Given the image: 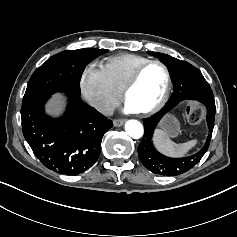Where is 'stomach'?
<instances>
[{
	"label": "stomach",
	"mask_w": 237,
	"mask_h": 237,
	"mask_svg": "<svg viewBox=\"0 0 237 237\" xmlns=\"http://www.w3.org/2000/svg\"><path fill=\"white\" fill-rule=\"evenodd\" d=\"M162 128L170 136H176L179 132L178 123L172 116H169L164 120Z\"/></svg>",
	"instance_id": "1"
}]
</instances>
